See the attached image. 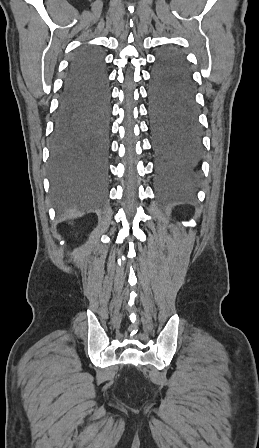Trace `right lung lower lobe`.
Masks as SVG:
<instances>
[{
	"label": "right lung lower lobe",
	"instance_id": "1",
	"mask_svg": "<svg viewBox=\"0 0 259 448\" xmlns=\"http://www.w3.org/2000/svg\"><path fill=\"white\" fill-rule=\"evenodd\" d=\"M110 81L102 53L82 47L67 70L50 140V173L65 187L101 186L110 156Z\"/></svg>",
	"mask_w": 259,
	"mask_h": 448
}]
</instances>
